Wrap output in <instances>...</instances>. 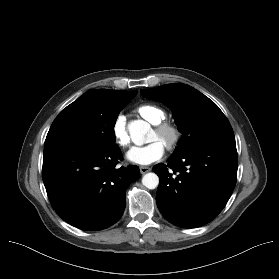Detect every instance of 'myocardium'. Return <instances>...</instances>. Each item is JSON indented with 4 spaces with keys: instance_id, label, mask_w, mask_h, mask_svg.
Wrapping results in <instances>:
<instances>
[{
    "instance_id": "1",
    "label": "myocardium",
    "mask_w": 279,
    "mask_h": 279,
    "mask_svg": "<svg viewBox=\"0 0 279 279\" xmlns=\"http://www.w3.org/2000/svg\"><path fill=\"white\" fill-rule=\"evenodd\" d=\"M154 131L162 139L164 146L168 150L175 149L181 140L180 129L170 122L162 121L154 125Z\"/></svg>"
}]
</instances>
